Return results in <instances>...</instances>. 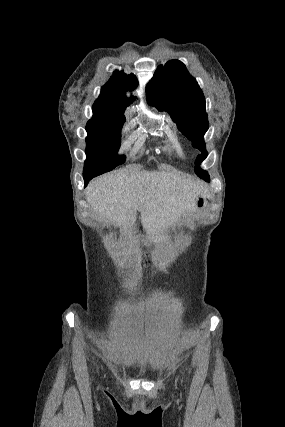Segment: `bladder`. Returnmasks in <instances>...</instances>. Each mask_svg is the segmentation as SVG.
<instances>
[{
    "label": "bladder",
    "mask_w": 285,
    "mask_h": 427,
    "mask_svg": "<svg viewBox=\"0 0 285 427\" xmlns=\"http://www.w3.org/2000/svg\"><path fill=\"white\" fill-rule=\"evenodd\" d=\"M139 375H144V376H150V373L146 372V371H141L139 373Z\"/></svg>",
    "instance_id": "obj_1"
}]
</instances>
